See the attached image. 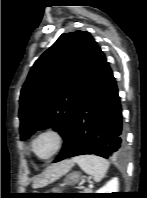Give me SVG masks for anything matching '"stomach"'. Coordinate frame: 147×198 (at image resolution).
<instances>
[{
  "label": "stomach",
  "mask_w": 147,
  "mask_h": 198,
  "mask_svg": "<svg viewBox=\"0 0 147 198\" xmlns=\"http://www.w3.org/2000/svg\"><path fill=\"white\" fill-rule=\"evenodd\" d=\"M81 179V174L79 172H72L69 175L66 176L64 182L60 184V188H63L67 185H73L79 182ZM60 188L53 189V191H59ZM52 193H58V192H52Z\"/></svg>",
  "instance_id": "0dacf381"
}]
</instances>
